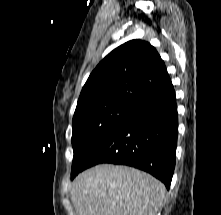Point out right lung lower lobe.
<instances>
[{"mask_svg": "<svg viewBox=\"0 0 221 215\" xmlns=\"http://www.w3.org/2000/svg\"><path fill=\"white\" fill-rule=\"evenodd\" d=\"M177 134L176 96L170 84L136 103L93 152L84 169L100 163L128 165L150 173L169 189Z\"/></svg>", "mask_w": 221, "mask_h": 215, "instance_id": "1", "label": "right lung lower lobe"}]
</instances>
